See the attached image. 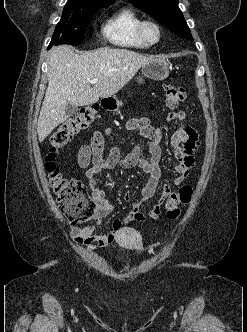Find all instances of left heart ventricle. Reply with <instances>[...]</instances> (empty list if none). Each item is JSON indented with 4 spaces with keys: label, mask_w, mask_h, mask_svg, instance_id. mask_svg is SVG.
I'll list each match as a JSON object with an SVG mask.
<instances>
[{
    "label": "left heart ventricle",
    "mask_w": 247,
    "mask_h": 332,
    "mask_svg": "<svg viewBox=\"0 0 247 332\" xmlns=\"http://www.w3.org/2000/svg\"><path fill=\"white\" fill-rule=\"evenodd\" d=\"M146 35H147L148 39H150V40H155L157 37L156 30L151 26H148L146 28Z\"/></svg>",
    "instance_id": "1"
}]
</instances>
